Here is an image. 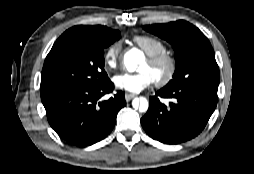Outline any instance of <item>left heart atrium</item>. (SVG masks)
<instances>
[{
    "label": "left heart atrium",
    "mask_w": 254,
    "mask_h": 174,
    "mask_svg": "<svg viewBox=\"0 0 254 174\" xmlns=\"http://www.w3.org/2000/svg\"><path fill=\"white\" fill-rule=\"evenodd\" d=\"M154 79L150 73L140 71L138 73H121L115 75L113 82L119 89L130 93H139L154 83Z\"/></svg>",
    "instance_id": "left-heart-atrium-1"
}]
</instances>
